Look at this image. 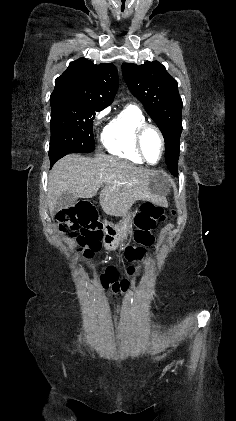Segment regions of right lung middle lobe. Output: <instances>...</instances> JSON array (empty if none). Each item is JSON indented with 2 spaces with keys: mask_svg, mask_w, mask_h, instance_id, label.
I'll return each mask as SVG.
<instances>
[{
  "mask_svg": "<svg viewBox=\"0 0 236 421\" xmlns=\"http://www.w3.org/2000/svg\"><path fill=\"white\" fill-rule=\"evenodd\" d=\"M50 161L70 152L90 153L95 149L93 119L106 106L82 100L51 98Z\"/></svg>",
  "mask_w": 236,
  "mask_h": 421,
  "instance_id": "1",
  "label": "right lung middle lobe"
}]
</instances>
